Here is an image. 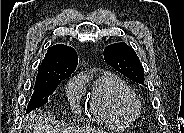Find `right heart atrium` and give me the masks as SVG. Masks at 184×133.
<instances>
[{
    "instance_id": "right-heart-atrium-1",
    "label": "right heart atrium",
    "mask_w": 184,
    "mask_h": 133,
    "mask_svg": "<svg viewBox=\"0 0 184 133\" xmlns=\"http://www.w3.org/2000/svg\"><path fill=\"white\" fill-rule=\"evenodd\" d=\"M83 93V83L80 78L72 79L67 86L68 98L73 106L77 108Z\"/></svg>"
}]
</instances>
